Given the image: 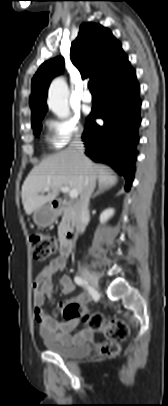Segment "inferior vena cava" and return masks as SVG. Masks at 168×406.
Here are the masks:
<instances>
[{
	"mask_svg": "<svg viewBox=\"0 0 168 406\" xmlns=\"http://www.w3.org/2000/svg\"><path fill=\"white\" fill-rule=\"evenodd\" d=\"M69 149L77 158L82 159L84 157V144L80 135L75 136L74 140L69 145ZM94 188L95 176L91 171H87L85 173V189L80 195L79 207L75 217V227L77 232L84 231L89 221V202Z\"/></svg>",
	"mask_w": 168,
	"mask_h": 406,
	"instance_id": "602c4592",
	"label": "inferior vena cava"
}]
</instances>
